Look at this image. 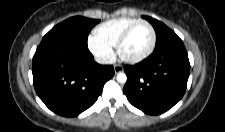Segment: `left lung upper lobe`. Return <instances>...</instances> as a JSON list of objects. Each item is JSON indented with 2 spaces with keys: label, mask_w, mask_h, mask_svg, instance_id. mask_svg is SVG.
<instances>
[{
  "label": "left lung upper lobe",
  "mask_w": 225,
  "mask_h": 132,
  "mask_svg": "<svg viewBox=\"0 0 225 132\" xmlns=\"http://www.w3.org/2000/svg\"><path fill=\"white\" fill-rule=\"evenodd\" d=\"M148 20L156 32V46L155 50H160L166 46L182 43V40L175 34L174 31L169 29L166 25L148 16H143Z\"/></svg>",
  "instance_id": "5c2ea615"
}]
</instances>
